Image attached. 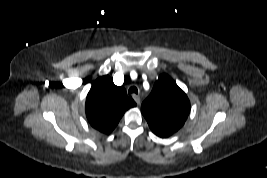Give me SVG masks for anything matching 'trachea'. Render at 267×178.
I'll list each match as a JSON object with an SVG mask.
<instances>
[{
  "label": "trachea",
  "mask_w": 267,
  "mask_h": 178,
  "mask_svg": "<svg viewBox=\"0 0 267 178\" xmlns=\"http://www.w3.org/2000/svg\"><path fill=\"white\" fill-rule=\"evenodd\" d=\"M132 93L138 94V89L135 86L130 87L128 90V94Z\"/></svg>",
  "instance_id": "obj_1"
}]
</instances>
